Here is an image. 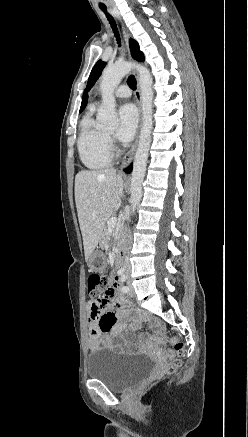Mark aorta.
I'll return each instance as SVG.
<instances>
[{
    "label": "aorta",
    "instance_id": "aorta-1",
    "mask_svg": "<svg viewBox=\"0 0 248 437\" xmlns=\"http://www.w3.org/2000/svg\"><path fill=\"white\" fill-rule=\"evenodd\" d=\"M133 68L139 73V83L142 99V126L138 148L135 153L131 178V213L135 211L142 198V182L146 173V165L152 139L153 128V79L147 68L129 62H118L105 69L100 84L102 104L98 111L97 120L106 127L114 128L118 125L115 111L114 90L125 75Z\"/></svg>",
    "mask_w": 248,
    "mask_h": 437
}]
</instances>
